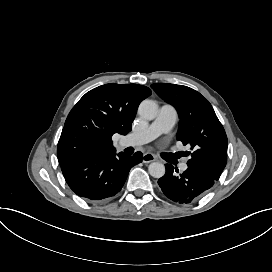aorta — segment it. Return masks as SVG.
<instances>
[{
	"instance_id": "aorta-1",
	"label": "aorta",
	"mask_w": 272,
	"mask_h": 272,
	"mask_svg": "<svg viewBox=\"0 0 272 272\" xmlns=\"http://www.w3.org/2000/svg\"><path fill=\"white\" fill-rule=\"evenodd\" d=\"M158 112V104L150 99L143 100L138 108V114L147 119L152 120ZM149 174L154 178H161L165 174V166L160 162H152L148 166Z\"/></svg>"
}]
</instances>
